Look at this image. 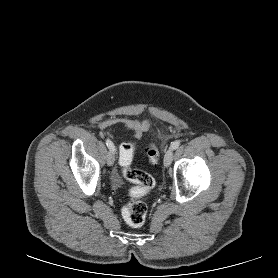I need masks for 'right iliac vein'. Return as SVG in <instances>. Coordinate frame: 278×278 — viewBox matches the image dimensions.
<instances>
[{
    "label": "right iliac vein",
    "instance_id": "63e3f726",
    "mask_svg": "<svg viewBox=\"0 0 278 278\" xmlns=\"http://www.w3.org/2000/svg\"><path fill=\"white\" fill-rule=\"evenodd\" d=\"M106 161H107V164L109 166H112L115 162V153L114 151L110 150L107 154V157H106Z\"/></svg>",
    "mask_w": 278,
    "mask_h": 278
}]
</instances>
